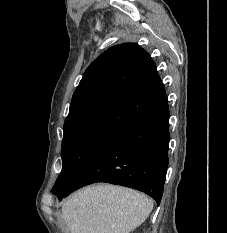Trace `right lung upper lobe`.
Here are the masks:
<instances>
[{
    "mask_svg": "<svg viewBox=\"0 0 227 233\" xmlns=\"http://www.w3.org/2000/svg\"><path fill=\"white\" fill-rule=\"evenodd\" d=\"M167 102L150 55L135 43L120 44L86 69L73 94L64 134L83 129L118 133Z\"/></svg>",
    "mask_w": 227,
    "mask_h": 233,
    "instance_id": "1",
    "label": "right lung upper lobe"
}]
</instances>
